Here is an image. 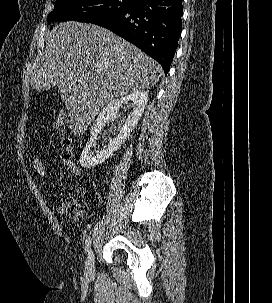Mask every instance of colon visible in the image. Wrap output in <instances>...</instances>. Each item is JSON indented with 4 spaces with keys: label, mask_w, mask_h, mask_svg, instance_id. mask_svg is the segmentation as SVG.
I'll use <instances>...</instances> for the list:
<instances>
[{
    "label": "colon",
    "mask_w": 272,
    "mask_h": 303,
    "mask_svg": "<svg viewBox=\"0 0 272 303\" xmlns=\"http://www.w3.org/2000/svg\"><path fill=\"white\" fill-rule=\"evenodd\" d=\"M65 118L60 117L56 122V128L63 133L60 141V159L64 166L71 172H77L74 164V151L72 141L69 136L65 135ZM31 168L37 177H45L47 175V164L43 157L35 154L31 158ZM84 190L78 188L73 194L64 196L60 203V210L68 218L78 220L85 211Z\"/></svg>",
    "instance_id": "5ec220e1"
}]
</instances>
